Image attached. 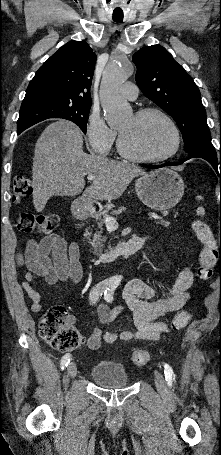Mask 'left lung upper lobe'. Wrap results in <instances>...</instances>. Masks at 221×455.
I'll list each match as a JSON object with an SVG mask.
<instances>
[{
	"label": "left lung upper lobe",
	"instance_id": "left-lung-upper-lobe-1",
	"mask_svg": "<svg viewBox=\"0 0 221 455\" xmlns=\"http://www.w3.org/2000/svg\"><path fill=\"white\" fill-rule=\"evenodd\" d=\"M141 91L176 121L186 152L215 149L200 91L192 77L160 45L141 48L133 57Z\"/></svg>",
	"mask_w": 221,
	"mask_h": 455
}]
</instances>
